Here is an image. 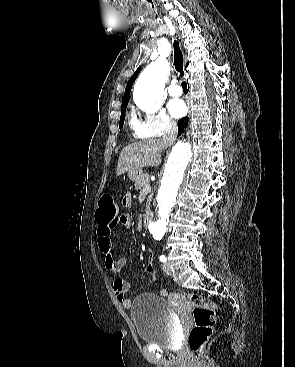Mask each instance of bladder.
<instances>
[{"label":"bladder","mask_w":295,"mask_h":367,"mask_svg":"<svg viewBox=\"0 0 295 367\" xmlns=\"http://www.w3.org/2000/svg\"><path fill=\"white\" fill-rule=\"evenodd\" d=\"M167 300L157 294L137 296L131 305V317L142 342L173 348L178 342L177 325Z\"/></svg>","instance_id":"1"}]
</instances>
